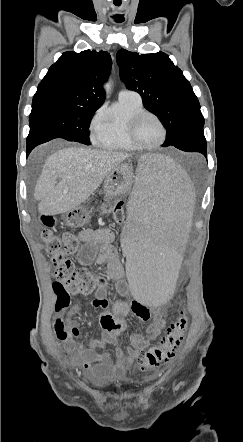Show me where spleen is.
<instances>
[{
	"mask_svg": "<svg viewBox=\"0 0 243 442\" xmlns=\"http://www.w3.org/2000/svg\"><path fill=\"white\" fill-rule=\"evenodd\" d=\"M127 222L122 229L125 280L140 307H163L177 289L186 256L194 193L188 172L161 155H144L134 171Z\"/></svg>",
	"mask_w": 243,
	"mask_h": 442,
	"instance_id": "spleen-1",
	"label": "spleen"
}]
</instances>
